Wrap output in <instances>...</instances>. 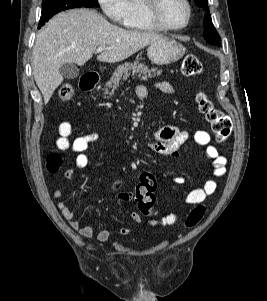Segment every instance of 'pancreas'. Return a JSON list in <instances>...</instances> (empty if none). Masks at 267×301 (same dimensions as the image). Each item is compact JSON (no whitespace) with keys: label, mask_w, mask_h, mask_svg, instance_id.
<instances>
[{"label":"pancreas","mask_w":267,"mask_h":301,"mask_svg":"<svg viewBox=\"0 0 267 301\" xmlns=\"http://www.w3.org/2000/svg\"><path fill=\"white\" fill-rule=\"evenodd\" d=\"M152 73L155 75H161L162 71L157 70L156 68H149L143 63H139L138 61L134 62H126L122 65H119L117 69L112 74L110 80L105 84L103 88L104 98H108L114 94L116 89L119 87V84L122 81L127 80V78L131 75L132 77H138L142 80H147L148 78L153 77Z\"/></svg>","instance_id":"obj_1"}]
</instances>
